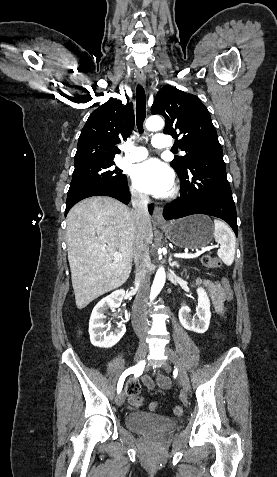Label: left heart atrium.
Instances as JSON below:
<instances>
[{
  "label": "left heart atrium",
  "mask_w": 277,
  "mask_h": 477,
  "mask_svg": "<svg viewBox=\"0 0 277 477\" xmlns=\"http://www.w3.org/2000/svg\"><path fill=\"white\" fill-rule=\"evenodd\" d=\"M132 178L139 189L159 197L167 195L174 185L171 169L154 158L134 166Z\"/></svg>",
  "instance_id": "obj_1"
}]
</instances>
